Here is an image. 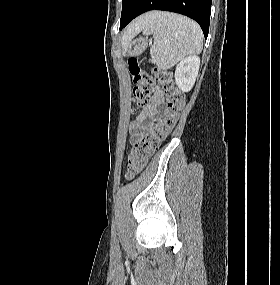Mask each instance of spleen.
Masks as SVG:
<instances>
[{"label":"spleen","instance_id":"1","mask_svg":"<svg viewBox=\"0 0 280 285\" xmlns=\"http://www.w3.org/2000/svg\"><path fill=\"white\" fill-rule=\"evenodd\" d=\"M142 29L144 35H153L151 62L161 69H169L185 57L202 50L201 28L182 15L154 12Z\"/></svg>","mask_w":280,"mask_h":285}]
</instances>
